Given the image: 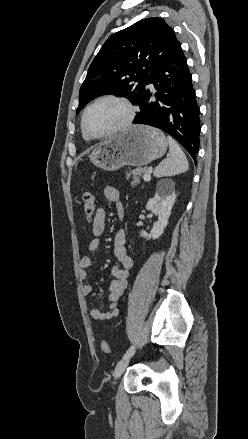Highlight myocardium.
<instances>
[{
  "instance_id": "myocardium-1",
  "label": "myocardium",
  "mask_w": 248,
  "mask_h": 439,
  "mask_svg": "<svg viewBox=\"0 0 248 439\" xmlns=\"http://www.w3.org/2000/svg\"><path fill=\"white\" fill-rule=\"evenodd\" d=\"M103 101H114L117 102L119 104H121L127 112V116L124 120V122L119 125L118 127L103 133V134H92L90 133L87 129H86V116L87 113L89 112V110L95 106L96 104L103 102ZM136 116V108L135 106L125 97L122 96H118V95H104L101 97H98L97 99H95L94 101H92L90 104H88L86 106V108L84 109L83 113H82V117H81V129L83 132V135H85L87 138L92 139V140H96V139H102V138H106L112 135H115L117 133L126 131L127 129H129L131 127V125L133 124V121L135 119Z\"/></svg>"
}]
</instances>
